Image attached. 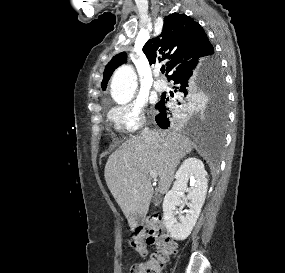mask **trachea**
I'll list each match as a JSON object with an SVG mask.
<instances>
[{
  "label": "trachea",
  "mask_w": 285,
  "mask_h": 273,
  "mask_svg": "<svg viewBox=\"0 0 285 273\" xmlns=\"http://www.w3.org/2000/svg\"><path fill=\"white\" fill-rule=\"evenodd\" d=\"M161 72L164 73L165 72V68H161Z\"/></svg>",
  "instance_id": "3493384b"
}]
</instances>
